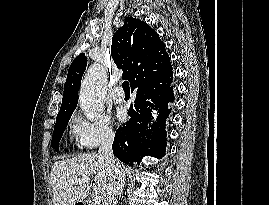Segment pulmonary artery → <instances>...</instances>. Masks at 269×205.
<instances>
[{"label":"pulmonary artery","instance_id":"obj_1","mask_svg":"<svg viewBox=\"0 0 269 205\" xmlns=\"http://www.w3.org/2000/svg\"><path fill=\"white\" fill-rule=\"evenodd\" d=\"M112 98L115 102L120 103L125 99V94L121 86H118L112 93Z\"/></svg>","mask_w":269,"mask_h":205}]
</instances>
